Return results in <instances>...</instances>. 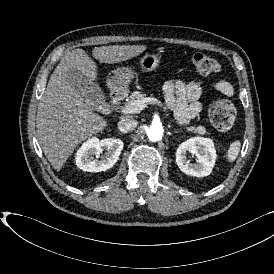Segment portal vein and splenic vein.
I'll return each instance as SVG.
<instances>
[{
    "instance_id": "1",
    "label": "portal vein and splenic vein",
    "mask_w": 274,
    "mask_h": 274,
    "mask_svg": "<svg viewBox=\"0 0 274 274\" xmlns=\"http://www.w3.org/2000/svg\"><path fill=\"white\" fill-rule=\"evenodd\" d=\"M150 99V97L141 98L135 100L132 103H128L127 105L121 106L119 113H124L127 115L140 113L143 108L150 104Z\"/></svg>"
}]
</instances>
